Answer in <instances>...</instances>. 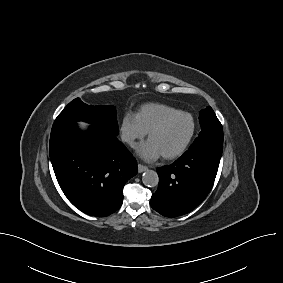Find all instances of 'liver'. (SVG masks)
Here are the masks:
<instances>
[{"label": "liver", "mask_w": 283, "mask_h": 283, "mask_svg": "<svg viewBox=\"0 0 283 283\" xmlns=\"http://www.w3.org/2000/svg\"><path fill=\"white\" fill-rule=\"evenodd\" d=\"M82 127H86L88 124L87 123H84V122H80L79 123Z\"/></svg>", "instance_id": "obj_1"}]
</instances>
